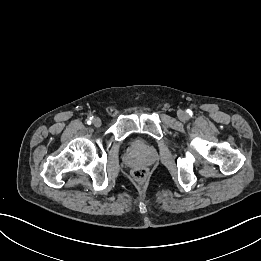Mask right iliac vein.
I'll return each instance as SVG.
<instances>
[{"label": "right iliac vein", "instance_id": "63e3f726", "mask_svg": "<svg viewBox=\"0 0 261 261\" xmlns=\"http://www.w3.org/2000/svg\"><path fill=\"white\" fill-rule=\"evenodd\" d=\"M92 123H93V125H94L95 127H100L101 124H102L101 119L98 118V117L94 118L93 121H92Z\"/></svg>", "mask_w": 261, "mask_h": 261}]
</instances>
